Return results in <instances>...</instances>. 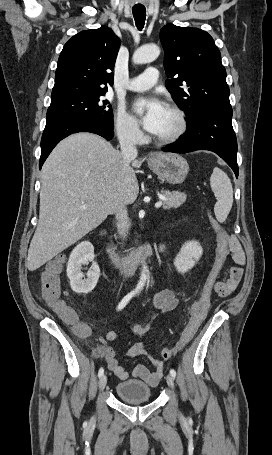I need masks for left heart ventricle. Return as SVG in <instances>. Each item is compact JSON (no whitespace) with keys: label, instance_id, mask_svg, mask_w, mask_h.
Returning <instances> with one entry per match:
<instances>
[{"label":"left heart ventricle","instance_id":"left-heart-ventricle-1","mask_svg":"<svg viewBox=\"0 0 272 455\" xmlns=\"http://www.w3.org/2000/svg\"><path fill=\"white\" fill-rule=\"evenodd\" d=\"M177 125L175 115L166 108L162 123L159 130L155 133L156 136H166L172 133Z\"/></svg>","mask_w":272,"mask_h":455}]
</instances>
